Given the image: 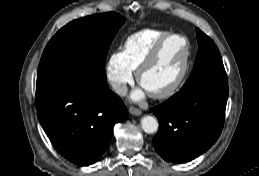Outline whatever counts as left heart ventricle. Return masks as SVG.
I'll use <instances>...</instances> for the list:
<instances>
[{"label":"left heart ventricle","mask_w":259,"mask_h":176,"mask_svg":"<svg viewBox=\"0 0 259 176\" xmlns=\"http://www.w3.org/2000/svg\"><path fill=\"white\" fill-rule=\"evenodd\" d=\"M185 55V41L179 37L169 39L157 60L143 74L141 86L147 92L168 87L179 75Z\"/></svg>","instance_id":"1"}]
</instances>
